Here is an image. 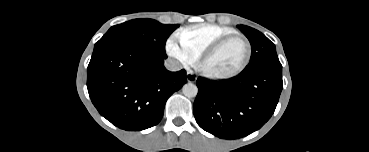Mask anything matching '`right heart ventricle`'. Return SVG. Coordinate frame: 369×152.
<instances>
[{"mask_svg": "<svg viewBox=\"0 0 369 152\" xmlns=\"http://www.w3.org/2000/svg\"><path fill=\"white\" fill-rule=\"evenodd\" d=\"M233 33L236 31L228 26L200 23L182 28L178 38L197 60L208 46L221 37Z\"/></svg>", "mask_w": 369, "mask_h": 152, "instance_id": "1", "label": "right heart ventricle"}]
</instances>
